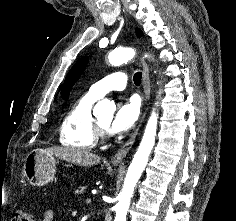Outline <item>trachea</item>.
I'll list each match as a JSON object with an SVG mask.
<instances>
[{
  "label": "trachea",
  "mask_w": 236,
  "mask_h": 221,
  "mask_svg": "<svg viewBox=\"0 0 236 221\" xmlns=\"http://www.w3.org/2000/svg\"><path fill=\"white\" fill-rule=\"evenodd\" d=\"M141 78H142V73L141 72H137V73L134 74L133 80H134L135 85H140Z\"/></svg>",
  "instance_id": "3493384b"
}]
</instances>
